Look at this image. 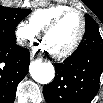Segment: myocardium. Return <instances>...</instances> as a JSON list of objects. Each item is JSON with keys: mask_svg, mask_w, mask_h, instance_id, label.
<instances>
[{"mask_svg": "<svg viewBox=\"0 0 103 103\" xmlns=\"http://www.w3.org/2000/svg\"><path fill=\"white\" fill-rule=\"evenodd\" d=\"M77 14L80 17V21H81V27H80V31L76 37V39L73 41V43L67 47L66 49H64L63 51L60 52H51V55L54 58L57 59H63L66 58L68 56H70L81 44L85 33H86V18L84 13L76 8H69L63 12H61L60 14H58L55 18H53L43 29L41 32L42 38L44 39V37L50 32L52 31L54 28H56L60 22L67 17L70 14Z\"/></svg>", "mask_w": 103, "mask_h": 103, "instance_id": "myocardium-1", "label": "myocardium"}]
</instances>
